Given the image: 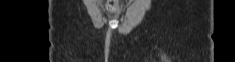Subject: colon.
Listing matches in <instances>:
<instances>
[{
    "label": "colon",
    "mask_w": 235,
    "mask_h": 62,
    "mask_svg": "<svg viewBox=\"0 0 235 62\" xmlns=\"http://www.w3.org/2000/svg\"><path fill=\"white\" fill-rule=\"evenodd\" d=\"M107 8L111 12H115L118 9V1L117 0H108Z\"/></svg>",
    "instance_id": "colon-1"
}]
</instances>
